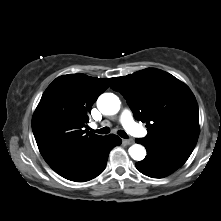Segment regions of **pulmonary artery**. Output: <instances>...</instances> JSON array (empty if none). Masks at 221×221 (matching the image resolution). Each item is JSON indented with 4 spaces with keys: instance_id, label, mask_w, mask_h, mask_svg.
<instances>
[{
    "instance_id": "e3ab8cb5",
    "label": "pulmonary artery",
    "mask_w": 221,
    "mask_h": 221,
    "mask_svg": "<svg viewBox=\"0 0 221 221\" xmlns=\"http://www.w3.org/2000/svg\"><path fill=\"white\" fill-rule=\"evenodd\" d=\"M120 123L135 137H144L146 135V131L133 120L132 114L129 110H124L121 113Z\"/></svg>"
}]
</instances>
